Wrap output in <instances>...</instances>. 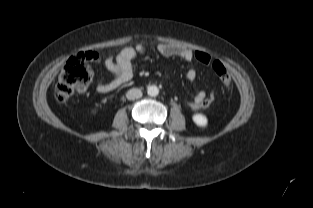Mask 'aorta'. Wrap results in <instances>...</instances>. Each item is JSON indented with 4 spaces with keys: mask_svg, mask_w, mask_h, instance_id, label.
<instances>
[{
    "mask_svg": "<svg viewBox=\"0 0 313 208\" xmlns=\"http://www.w3.org/2000/svg\"><path fill=\"white\" fill-rule=\"evenodd\" d=\"M147 93H148L149 96L155 97V96H157L159 94V89L155 85L148 86Z\"/></svg>",
    "mask_w": 313,
    "mask_h": 208,
    "instance_id": "1",
    "label": "aorta"
}]
</instances>
